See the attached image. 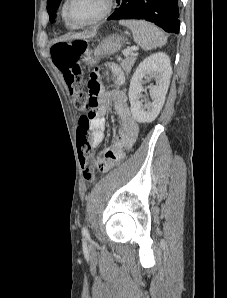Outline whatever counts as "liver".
Instances as JSON below:
<instances>
[{
  "label": "liver",
  "mask_w": 227,
  "mask_h": 298,
  "mask_svg": "<svg viewBox=\"0 0 227 298\" xmlns=\"http://www.w3.org/2000/svg\"><path fill=\"white\" fill-rule=\"evenodd\" d=\"M96 32H91L88 34H82V33H77V34H73L64 38L59 39V41H70V40H74V39H88L91 38L93 36H95Z\"/></svg>",
  "instance_id": "1"
}]
</instances>
